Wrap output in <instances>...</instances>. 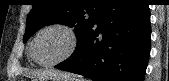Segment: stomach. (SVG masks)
I'll return each mask as SVG.
<instances>
[{"mask_svg": "<svg viewBox=\"0 0 169 81\" xmlns=\"http://www.w3.org/2000/svg\"><path fill=\"white\" fill-rule=\"evenodd\" d=\"M33 81H77V80L73 78H66L61 76H50L45 78H36Z\"/></svg>", "mask_w": 169, "mask_h": 81, "instance_id": "stomach-1", "label": "stomach"}]
</instances>
